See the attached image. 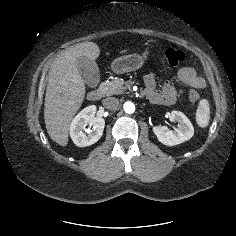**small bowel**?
Masks as SVG:
<instances>
[{
  "label": "small bowel",
  "mask_w": 236,
  "mask_h": 236,
  "mask_svg": "<svg viewBox=\"0 0 236 236\" xmlns=\"http://www.w3.org/2000/svg\"><path fill=\"white\" fill-rule=\"evenodd\" d=\"M179 80L187 86L202 89L205 86L203 78L197 75L191 67H182L178 72ZM145 94L155 104L169 106L175 103L176 98L183 91L166 82L160 89L157 88V80L154 74L148 73L144 76Z\"/></svg>",
  "instance_id": "obj_1"
}]
</instances>
